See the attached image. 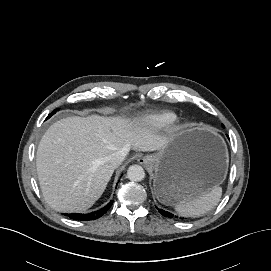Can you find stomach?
Returning a JSON list of instances; mask_svg holds the SVG:
<instances>
[{
  "instance_id": "1",
  "label": "stomach",
  "mask_w": 271,
  "mask_h": 271,
  "mask_svg": "<svg viewBox=\"0 0 271 271\" xmlns=\"http://www.w3.org/2000/svg\"><path fill=\"white\" fill-rule=\"evenodd\" d=\"M148 157L154 171V194L168 205L210 191L224 181L228 169L224 140L204 126L184 127Z\"/></svg>"
}]
</instances>
